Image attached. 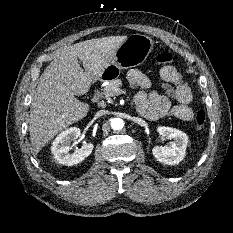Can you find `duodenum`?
Listing matches in <instances>:
<instances>
[{
    "instance_id": "obj_1",
    "label": "duodenum",
    "mask_w": 233,
    "mask_h": 233,
    "mask_svg": "<svg viewBox=\"0 0 233 233\" xmlns=\"http://www.w3.org/2000/svg\"><path fill=\"white\" fill-rule=\"evenodd\" d=\"M96 99H97V97H96V95L93 97V101H96Z\"/></svg>"
}]
</instances>
